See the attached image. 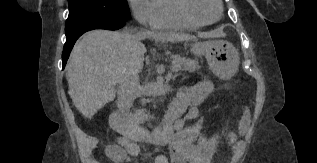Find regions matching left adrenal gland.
Instances as JSON below:
<instances>
[{
  "mask_svg": "<svg viewBox=\"0 0 317 163\" xmlns=\"http://www.w3.org/2000/svg\"><path fill=\"white\" fill-rule=\"evenodd\" d=\"M178 76V74H175V75H172V74H170V77L173 79V80H175V78Z\"/></svg>",
  "mask_w": 317,
  "mask_h": 163,
  "instance_id": "a2214340",
  "label": "left adrenal gland"
}]
</instances>
